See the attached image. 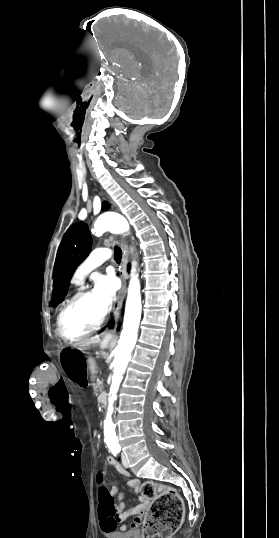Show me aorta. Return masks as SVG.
<instances>
[{
  "label": "aorta",
  "mask_w": 279,
  "mask_h": 538,
  "mask_svg": "<svg viewBox=\"0 0 279 538\" xmlns=\"http://www.w3.org/2000/svg\"><path fill=\"white\" fill-rule=\"evenodd\" d=\"M128 230L129 224L123 216L117 213H107L101 215L96 220L93 233H95L96 236H101L106 231H111L112 233H123ZM141 309L142 304L140 283L138 276L135 274V270L132 269L125 306L123 329L120 335L118 346L116 347V355L113 361L114 370L109 392L108 412L104 422L105 442L108 448L111 450L119 448V441L115 433V425L111 418L114 410L113 403L116 400V394L122 381V375L124 374V371L128 365L131 352L137 341V332L141 319Z\"/></svg>",
  "instance_id": "762f6f07"
}]
</instances>
